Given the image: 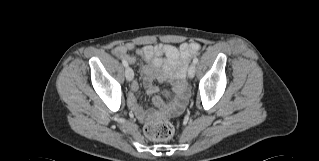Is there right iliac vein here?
Instances as JSON below:
<instances>
[{
    "mask_svg": "<svg viewBox=\"0 0 319 161\" xmlns=\"http://www.w3.org/2000/svg\"><path fill=\"white\" fill-rule=\"evenodd\" d=\"M125 76L128 81H131L134 77V72L131 67H127L125 70Z\"/></svg>",
    "mask_w": 319,
    "mask_h": 161,
    "instance_id": "1",
    "label": "right iliac vein"
}]
</instances>
